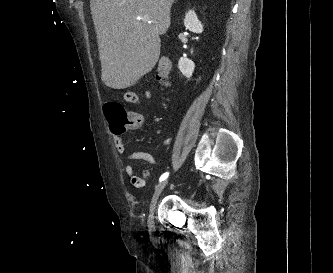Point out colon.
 <instances>
[{
  "label": "colon",
  "mask_w": 333,
  "mask_h": 273,
  "mask_svg": "<svg viewBox=\"0 0 333 273\" xmlns=\"http://www.w3.org/2000/svg\"><path fill=\"white\" fill-rule=\"evenodd\" d=\"M171 74V63L167 58H161L156 71V79L162 85H168ZM106 118L111 126V129L117 132H122L134 122L133 117L119 103L108 102L104 105ZM146 173L139 177L145 182Z\"/></svg>",
  "instance_id": "obj_1"
}]
</instances>
